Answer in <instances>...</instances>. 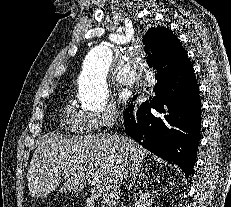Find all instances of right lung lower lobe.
I'll return each mask as SVG.
<instances>
[{
  "label": "right lung lower lobe",
  "mask_w": 231,
  "mask_h": 207,
  "mask_svg": "<svg viewBox=\"0 0 231 207\" xmlns=\"http://www.w3.org/2000/svg\"><path fill=\"white\" fill-rule=\"evenodd\" d=\"M155 30L149 29L143 38H149ZM155 78L157 84L149 101L137 110L130 106L124 111L125 133L178 165L188 177L196 161L201 129V101L192 64L160 68Z\"/></svg>",
  "instance_id": "98d812e1"
}]
</instances>
